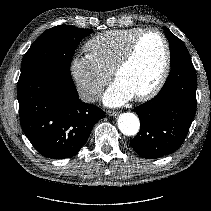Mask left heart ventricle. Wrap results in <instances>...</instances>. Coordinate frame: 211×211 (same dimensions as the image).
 I'll use <instances>...</instances> for the list:
<instances>
[{"label":"left heart ventricle","instance_id":"1","mask_svg":"<svg viewBox=\"0 0 211 211\" xmlns=\"http://www.w3.org/2000/svg\"><path fill=\"white\" fill-rule=\"evenodd\" d=\"M164 45L155 33H148L139 42L131 63L118 75L117 81L134 96L148 91L157 81L164 63Z\"/></svg>","mask_w":211,"mask_h":211}]
</instances>
